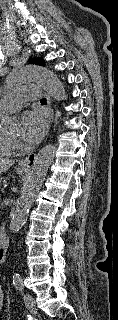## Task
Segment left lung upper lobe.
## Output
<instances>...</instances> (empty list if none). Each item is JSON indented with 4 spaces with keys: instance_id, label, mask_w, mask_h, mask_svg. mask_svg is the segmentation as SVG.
<instances>
[{
    "instance_id": "obj_1",
    "label": "left lung upper lobe",
    "mask_w": 118,
    "mask_h": 320,
    "mask_svg": "<svg viewBox=\"0 0 118 320\" xmlns=\"http://www.w3.org/2000/svg\"><path fill=\"white\" fill-rule=\"evenodd\" d=\"M32 63L38 64V65H43L44 61L42 59H35L32 61Z\"/></svg>"
}]
</instances>
